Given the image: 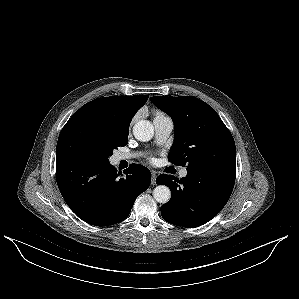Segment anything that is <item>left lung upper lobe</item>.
<instances>
[{"label": "left lung upper lobe", "instance_id": "left-lung-upper-lobe-1", "mask_svg": "<svg viewBox=\"0 0 299 299\" xmlns=\"http://www.w3.org/2000/svg\"><path fill=\"white\" fill-rule=\"evenodd\" d=\"M150 100L174 121L170 162L187 170L204 163L236 162L235 142L217 112L195 97L154 96Z\"/></svg>", "mask_w": 299, "mask_h": 299}]
</instances>
